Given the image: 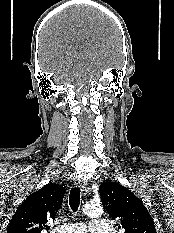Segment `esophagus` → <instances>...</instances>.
<instances>
[{
	"label": "esophagus",
	"instance_id": "1",
	"mask_svg": "<svg viewBox=\"0 0 174 233\" xmlns=\"http://www.w3.org/2000/svg\"><path fill=\"white\" fill-rule=\"evenodd\" d=\"M79 186L81 188L82 193L85 195L87 194L89 188H88V184L86 182H79Z\"/></svg>",
	"mask_w": 174,
	"mask_h": 233
}]
</instances>
